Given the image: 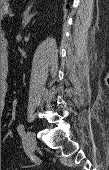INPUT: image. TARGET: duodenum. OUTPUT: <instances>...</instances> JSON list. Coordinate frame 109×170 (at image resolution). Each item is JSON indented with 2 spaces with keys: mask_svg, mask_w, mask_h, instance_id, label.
Listing matches in <instances>:
<instances>
[{
  "mask_svg": "<svg viewBox=\"0 0 109 170\" xmlns=\"http://www.w3.org/2000/svg\"><path fill=\"white\" fill-rule=\"evenodd\" d=\"M1 50L2 52H5L7 50V41L4 39L2 42H1ZM7 55H4L3 56V63H7Z\"/></svg>",
  "mask_w": 109,
  "mask_h": 170,
  "instance_id": "1",
  "label": "duodenum"
}]
</instances>
